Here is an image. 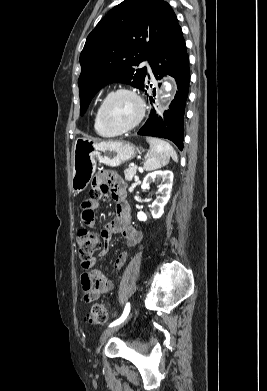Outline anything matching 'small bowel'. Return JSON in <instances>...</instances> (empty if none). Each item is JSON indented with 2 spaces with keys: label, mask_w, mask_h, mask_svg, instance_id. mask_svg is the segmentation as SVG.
Here are the masks:
<instances>
[{
  "label": "small bowel",
  "mask_w": 267,
  "mask_h": 391,
  "mask_svg": "<svg viewBox=\"0 0 267 391\" xmlns=\"http://www.w3.org/2000/svg\"><path fill=\"white\" fill-rule=\"evenodd\" d=\"M110 195L116 203V216L102 227L100 235L104 240V247L98 257H93L88 265H83L81 274V290L84 301L92 302L101 295L111 291L114 283L107 278L103 271L92 269L99 258L107 255L110 240L114 234H121L125 240L126 249L121 251L114 261V268L120 270L127 260V249L138 245L142 240V233L130 223V205L126 198L125 183L111 170H100L93 178L89 198L81 204L82 222L87 227L95 225V211L99 207V199Z\"/></svg>",
  "instance_id": "1"
}]
</instances>
